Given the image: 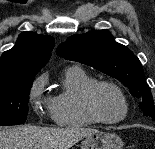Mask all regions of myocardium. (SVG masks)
<instances>
[{
    "label": "myocardium",
    "instance_id": "obj_1",
    "mask_svg": "<svg viewBox=\"0 0 155 149\" xmlns=\"http://www.w3.org/2000/svg\"><path fill=\"white\" fill-rule=\"evenodd\" d=\"M101 86H110L114 88L119 95L122 98L123 105H124V111L122 115L116 119H105L103 118L99 112L96 109L95 102H94V96L98 88ZM84 107L86 112L98 123L106 124V125H113L122 122L126 119V117L129 114V101L126 93L124 90L115 82L110 80H96L93 83H91L84 92Z\"/></svg>",
    "mask_w": 155,
    "mask_h": 149
}]
</instances>
